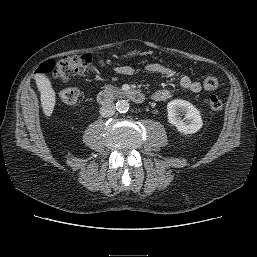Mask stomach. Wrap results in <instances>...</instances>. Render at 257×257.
Segmentation results:
<instances>
[{
	"mask_svg": "<svg viewBox=\"0 0 257 257\" xmlns=\"http://www.w3.org/2000/svg\"><path fill=\"white\" fill-rule=\"evenodd\" d=\"M138 55H143V54L140 53L139 51H131V52L127 53L126 57L130 58V57H135V56H138Z\"/></svg>",
	"mask_w": 257,
	"mask_h": 257,
	"instance_id": "1",
	"label": "stomach"
}]
</instances>
